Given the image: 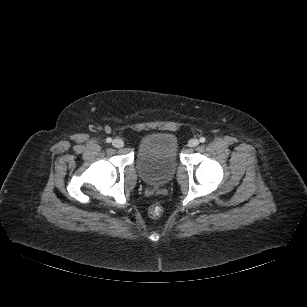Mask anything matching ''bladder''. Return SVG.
I'll use <instances>...</instances> for the list:
<instances>
[{"mask_svg":"<svg viewBox=\"0 0 307 307\" xmlns=\"http://www.w3.org/2000/svg\"><path fill=\"white\" fill-rule=\"evenodd\" d=\"M136 165L146 184L161 186L168 183L178 168L175 135L168 132L147 134L137 148Z\"/></svg>","mask_w":307,"mask_h":307,"instance_id":"obj_1","label":"bladder"}]
</instances>
